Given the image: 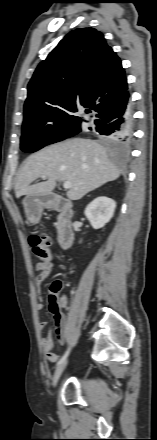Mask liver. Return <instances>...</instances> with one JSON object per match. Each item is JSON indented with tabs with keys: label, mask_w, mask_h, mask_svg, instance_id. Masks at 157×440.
<instances>
[{
	"label": "liver",
	"mask_w": 157,
	"mask_h": 440,
	"mask_svg": "<svg viewBox=\"0 0 157 440\" xmlns=\"http://www.w3.org/2000/svg\"><path fill=\"white\" fill-rule=\"evenodd\" d=\"M46 181L31 185L39 177ZM120 171L109 160L106 149L97 141L74 138L52 144L27 158L15 184V195H47L59 180L69 181L70 200H79L88 192L116 180Z\"/></svg>",
	"instance_id": "liver-1"
}]
</instances>
